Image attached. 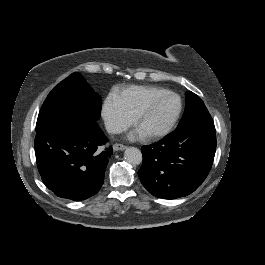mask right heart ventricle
Returning a JSON list of instances; mask_svg holds the SVG:
<instances>
[{"mask_svg":"<svg viewBox=\"0 0 265 265\" xmlns=\"http://www.w3.org/2000/svg\"><path fill=\"white\" fill-rule=\"evenodd\" d=\"M158 89L152 86H130L115 94L113 99L126 114L135 118L149 96Z\"/></svg>","mask_w":265,"mask_h":265,"instance_id":"1","label":"right heart ventricle"}]
</instances>
